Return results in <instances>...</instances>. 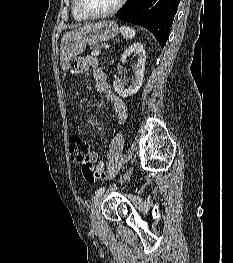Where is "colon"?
Here are the masks:
<instances>
[{
	"label": "colon",
	"instance_id": "5ec220e1",
	"mask_svg": "<svg viewBox=\"0 0 233 263\" xmlns=\"http://www.w3.org/2000/svg\"><path fill=\"white\" fill-rule=\"evenodd\" d=\"M69 154L71 160L82 165V170L85 178L88 181L96 179H104L106 174L102 168H93L88 158L91 154L90 143L79 135H73L69 139Z\"/></svg>",
	"mask_w": 233,
	"mask_h": 263
}]
</instances>
